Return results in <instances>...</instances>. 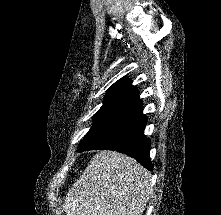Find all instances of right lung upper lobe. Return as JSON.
<instances>
[{
	"instance_id": "right-lung-upper-lobe-1",
	"label": "right lung upper lobe",
	"mask_w": 221,
	"mask_h": 215,
	"mask_svg": "<svg viewBox=\"0 0 221 215\" xmlns=\"http://www.w3.org/2000/svg\"><path fill=\"white\" fill-rule=\"evenodd\" d=\"M141 108L142 102L138 98L136 87L126 77L109 88L104 104L96 114L125 118Z\"/></svg>"
}]
</instances>
